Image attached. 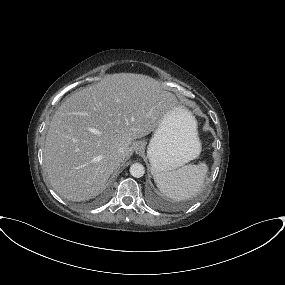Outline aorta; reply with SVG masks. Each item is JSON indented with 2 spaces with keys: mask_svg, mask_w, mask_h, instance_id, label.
Returning <instances> with one entry per match:
<instances>
[{
  "mask_svg": "<svg viewBox=\"0 0 285 285\" xmlns=\"http://www.w3.org/2000/svg\"><path fill=\"white\" fill-rule=\"evenodd\" d=\"M145 168L140 163H134L130 166V174L135 178H140L144 175Z\"/></svg>",
  "mask_w": 285,
  "mask_h": 285,
  "instance_id": "aorta-1",
  "label": "aorta"
}]
</instances>
